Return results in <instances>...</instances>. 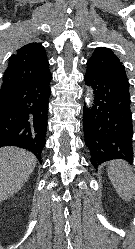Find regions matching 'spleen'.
Returning <instances> with one entry per match:
<instances>
[{
	"mask_svg": "<svg viewBox=\"0 0 135 249\" xmlns=\"http://www.w3.org/2000/svg\"><path fill=\"white\" fill-rule=\"evenodd\" d=\"M107 172L119 197L130 202L135 194V176L129 164L123 160H113L109 162Z\"/></svg>",
	"mask_w": 135,
	"mask_h": 249,
	"instance_id": "1",
	"label": "spleen"
}]
</instances>
